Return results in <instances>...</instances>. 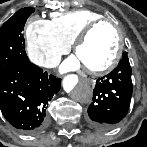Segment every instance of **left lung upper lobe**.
<instances>
[{
	"label": "left lung upper lobe",
	"instance_id": "left-lung-upper-lobe-1",
	"mask_svg": "<svg viewBox=\"0 0 147 147\" xmlns=\"http://www.w3.org/2000/svg\"><path fill=\"white\" fill-rule=\"evenodd\" d=\"M124 55H126V56H127V53H126V52H124V53H123V55H122V57H124Z\"/></svg>",
	"mask_w": 147,
	"mask_h": 147
}]
</instances>
